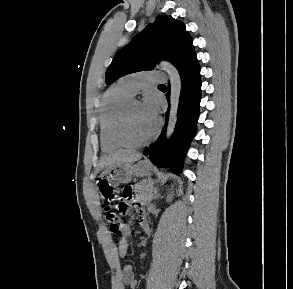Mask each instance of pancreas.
Instances as JSON below:
<instances>
[{
	"label": "pancreas",
	"mask_w": 293,
	"mask_h": 289,
	"mask_svg": "<svg viewBox=\"0 0 293 289\" xmlns=\"http://www.w3.org/2000/svg\"><path fill=\"white\" fill-rule=\"evenodd\" d=\"M135 193L136 198L144 202H150L154 198L153 188L148 181L135 184Z\"/></svg>",
	"instance_id": "cf45deb5"
}]
</instances>
